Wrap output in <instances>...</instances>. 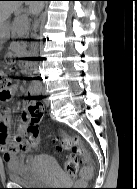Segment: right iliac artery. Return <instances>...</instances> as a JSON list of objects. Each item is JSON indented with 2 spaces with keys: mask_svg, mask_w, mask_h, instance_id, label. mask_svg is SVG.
Returning a JSON list of instances; mask_svg holds the SVG:
<instances>
[{
  "mask_svg": "<svg viewBox=\"0 0 137 189\" xmlns=\"http://www.w3.org/2000/svg\"><path fill=\"white\" fill-rule=\"evenodd\" d=\"M35 92H36L37 95H40V94H41V90H40L39 88H37V89L35 90Z\"/></svg>",
  "mask_w": 137,
  "mask_h": 189,
  "instance_id": "obj_1",
  "label": "right iliac artery"
}]
</instances>
